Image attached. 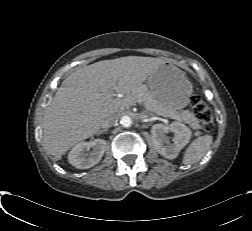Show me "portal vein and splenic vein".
<instances>
[{"label":"portal vein and splenic vein","instance_id":"obj_1","mask_svg":"<svg viewBox=\"0 0 252 231\" xmlns=\"http://www.w3.org/2000/svg\"><path fill=\"white\" fill-rule=\"evenodd\" d=\"M116 94L114 93V90L112 89L111 91H109L107 94H106V99L107 100H112L113 97H115ZM123 106H128V105H132L133 102L131 101V99L129 97H126L123 99ZM175 119V118H174Z\"/></svg>","mask_w":252,"mask_h":231}]
</instances>
